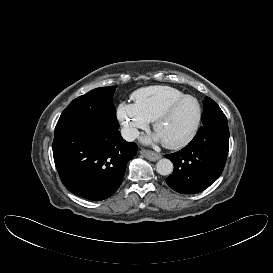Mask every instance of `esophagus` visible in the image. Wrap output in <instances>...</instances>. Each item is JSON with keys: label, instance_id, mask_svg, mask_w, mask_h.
I'll return each instance as SVG.
<instances>
[{"label": "esophagus", "instance_id": "34e87169", "mask_svg": "<svg viewBox=\"0 0 273 273\" xmlns=\"http://www.w3.org/2000/svg\"><path fill=\"white\" fill-rule=\"evenodd\" d=\"M140 153L148 160L150 161H157L159 160L162 155L159 154V153H156L154 151H151V150H147V149H141L140 150Z\"/></svg>", "mask_w": 273, "mask_h": 273}]
</instances>
